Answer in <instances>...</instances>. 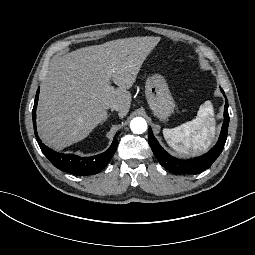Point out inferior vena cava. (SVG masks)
<instances>
[{
    "mask_svg": "<svg viewBox=\"0 0 255 255\" xmlns=\"http://www.w3.org/2000/svg\"><path fill=\"white\" fill-rule=\"evenodd\" d=\"M109 109L112 111H119L120 105L118 103H112L109 105Z\"/></svg>",
    "mask_w": 255,
    "mask_h": 255,
    "instance_id": "1",
    "label": "inferior vena cava"
}]
</instances>
